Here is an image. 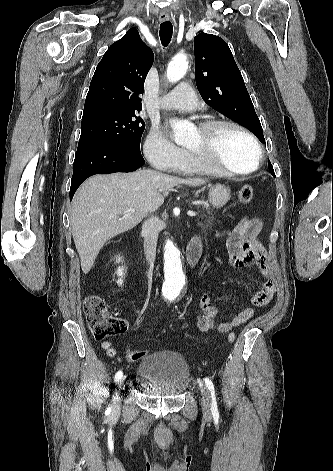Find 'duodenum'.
Wrapping results in <instances>:
<instances>
[{
	"instance_id": "duodenum-1",
	"label": "duodenum",
	"mask_w": 333,
	"mask_h": 471,
	"mask_svg": "<svg viewBox=\"0 0 333 471\" xmlns=\"http://www.w3.org/2000/svg\"><path fill=\"white\" fill-rule=\"evenodd\" d=\"M202 253V242L199 238H194L186 250V263L189 267H194Z\"/></svg>"
}]
</instances>
